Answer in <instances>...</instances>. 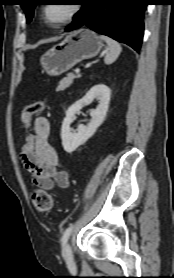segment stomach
Masks as SVG:
<instances>
[{
	"label": "stomach",
	"instance_id": "1",
	"mask_svg": "<svg viewBox=\"0 0 174 278\" xmlns=\"http://www.w3.org/2000/svg\"><path fill=\"white\" fill-rule=\"evenodd\" d=\"M103 46L96 33L88 29L80 30L49 49L41 56L40 63L48 75L58 76L77 63L95 57Z\"/></svg>",
	"mask_w": 174,
	"mask_h": 278
}]
</instances>
